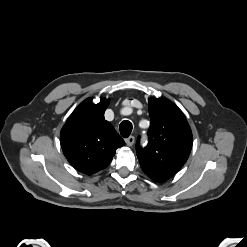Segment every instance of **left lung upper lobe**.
Returning a JSON list of instances; mask_svg holds the SVG:
<instances>
[{"instance_id": "obj_1", "label": "left lung upper lobe", "mask_w": 247, "mask_h": 247, "mask_svg": "<svg viewBox=\"0 0 247 247\" xmlns=\"http://www.w3.org/2000/svg\"><path fill=\"white\" fill-rule=\"evenodd\" d=\"M149 114V143L141 148L138 140L137 157L144 173L163 183L187 161L192 132L182 111L170 100L150 98Z\"/></svg>"}]
</instances>
